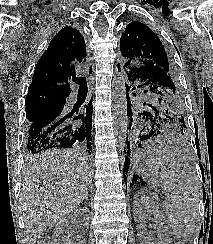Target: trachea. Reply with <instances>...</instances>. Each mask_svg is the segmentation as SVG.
<instances>
[{
    "label": "trachea",
    "mask_w": 213,
    "mask_h": 244,
    "mask_svg": "<svg viewBox=\"0 0 213 244\" xmlns=\"http://www.w3.org/2000/svg\"><path fill=\"white\" fill-rule=\"evenodd\" d=\"M75 83L79 84V92L80 93H86L88 91V87H87V82H86V78L85 77H81V78H73L72 79Z\"/></svg>",
    "instance_id": "1"
}]
</instances>
